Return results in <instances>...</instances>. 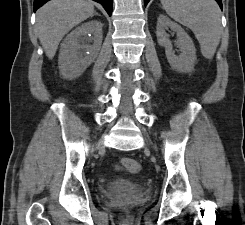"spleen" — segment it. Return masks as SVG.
<instances>
[{
    "mask_svg": "<svg viewBox=\"0 0 245 225\" xmlns=\"http://www.w3.org/2000/svg\"><path fill=\"white\" fill-rule=\"evenodd\" d=\"M166 13L193 31L201 53L212 59L221 38V12L215 0H161Z\"/></svg>",
    "mask_w": 245,
    "mask_h": 225,
    "instance_id": "obj_1",
    "label": "spleen"
}]
</instances>
